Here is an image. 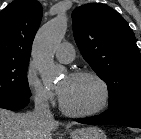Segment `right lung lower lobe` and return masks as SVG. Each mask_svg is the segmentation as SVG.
Here are the masks:
<instances>
[{
  "label": "right lung lower lobe",
  "instance_id": "1",
  "mask_svg": "<svg viewBox=\"0 0 141 139\" xmlns=\"http://www.w3.org/2000/svg\"><path fill=\"white\" fill-rule=\"evenodd\" d=\"M29 98H0V108L9 110H19L26 107Z\"/></svg>",
  "mask_w": 141,
  "mask_h": 139
}]
</instances>
